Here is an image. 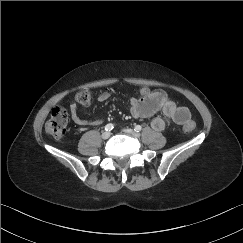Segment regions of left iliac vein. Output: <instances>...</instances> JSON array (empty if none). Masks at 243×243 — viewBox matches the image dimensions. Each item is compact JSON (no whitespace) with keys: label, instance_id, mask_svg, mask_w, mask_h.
Masks as SVG:
<instances>
[{"label":"left iliac vein","instance_id":"obj_1","mask_svg":"<svg viewBox=\"0 0 243 243\" xmlns=\"http://www.w3.org/2000/svg\"><path fill=\"white\" fill-rule=\"evenodd\" d=\"M125 133L133 136V137H139L140 134L137 131H134L133 129H124L123 130Z\"/></svg>","mask_w":243,"mask_h":243}]
</instances>
